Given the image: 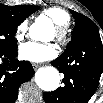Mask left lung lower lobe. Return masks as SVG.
Wrapping results in <instances>:
<instances>
[{"instance_id": "left-lung-lower-lobe-1", "label": "left lung lower lobe", "mask_w": 103, "mask_h": 103, "mask_svg": "<svg viewBox=\"0 0 103 103\" xmlns=\"http://www.w3.org/2000/svg\"><path fill=\"white\" fill-rule=\"evenodd\" d=\"M51 64L64 74V86L44 93L45 103H88L103 72V43L99 32H90L68 54Z\"/></svg>"}]
</instances>
